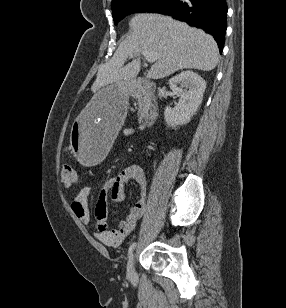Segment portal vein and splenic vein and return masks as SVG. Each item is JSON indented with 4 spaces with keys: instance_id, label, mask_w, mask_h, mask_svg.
<instances>
[{
    "instance_id": "18ae733b",
    "label": "portal vein and splenic vein",
    "mask_w": 286,
    "mask_h": 308,
    "mask_svg": "<svg viewBox=\"0 0 286 308\" xmlns=\"http://www.w3.org/2000/svg\"><path fill=\"white\" fill-rule=\"evenodd\" d=\"M142 55L149 63H153L159 57L156 52H143ZM130 57L133 58V55L131 54Z\"/></svg>"
}]
</instances>
